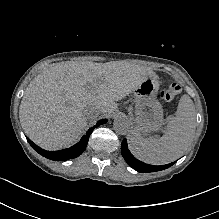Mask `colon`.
Masks as SVG:
<instances>
[{"instance_id":"1","label":"colon","mask_w":219,"mask_h":219,"mask_svg":"<svg viewBox=\"0 0 219 219\" xmlns=\"http://www.w3.org/2000/svg\"><path fill=\"white\" fill-rule=\"evenodd\" d=\"M182 88L178 83H173L160 93V98L165 102H170L181 94Z\"/></svg>"}]
</instances>
